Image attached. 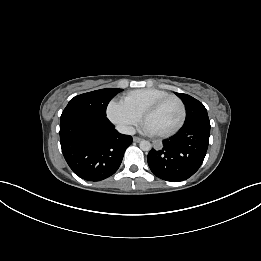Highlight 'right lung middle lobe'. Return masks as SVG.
<instances>
[{
	"instance_id": "1",
	"label": "right lung middle lobe",
	"mask_w": 261,
	"mask_h": 261,
	"mask_svg": "<svg viewBox=\"0 0 261 261\" xmlns=\"http://www.w3.org/2000/svg\"><path fill=\"white\" fill-rule=\"evenodd\" d=\"M121 91L122 89L106 88L84 93L72 98L64 110H79L90 114L106 116L108 103Z\"/></svg>"
}]
</instances>
